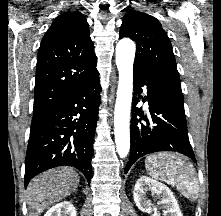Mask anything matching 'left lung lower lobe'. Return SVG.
<instances>
[{"label":"left lung lower lobe","instance_id":"obj_1","mask_svg":"<svg viewBox=\"0 0 221 216\" xmlns=\"http://www.w3.org/2000/svg\"><path fill=\"white\" fill-rule=\"evenodd\" d=\"M133 81L131 150L125 173L138 158L153 152L175 151L196 162L188 138L185 113L172 104L159 82L139 66H134ZM144 85L147 86V96L143 101H148L149 115H144L142 109L136 107L139 102L136 96H140ZM137 115L144 118L146 124L141 123Z\"/></svg>","mask_w":221,"mask_h":216}]
</instances>
